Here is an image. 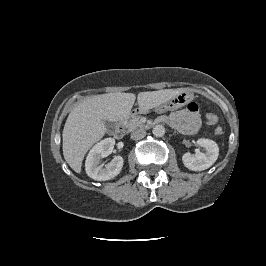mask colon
I'll list each match as a JSON object with an SVG mask.
<instances>
[{"label":"colon","instance_id":"colon-1","mask_svg":"<svg viewBox=\"0 0 266 266\" xmlns=\"http://www.w3.org/2000/svg\"><path fill=\"white\" fill-rule=\"evenodd\" d=\"M206 122L208 123V124H210V125H214V124H216L217 123V121H218V118H217V116L215 115V114H213V113H208V114H206ZM215 133L217 134V135H221L222 133H223V129L220 127V126H216V128H215Z\"/></svg>","mask_w":266,"mask_h":266}]
</instances>
